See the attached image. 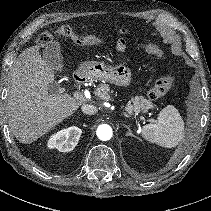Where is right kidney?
I'll return each instance as SVG.
<instances>
[{
	"mask_svg": "<svg viewBox=\"0 0 211 211\" xmlns=\"http://www.w3.org/2000/svg\"><path fill=\"white\" fill-rule=\"evenodd\" d=\"M81 134L82 130L76 126L63 129L49 138L47 146L60 152L72 151L78 144Z\"/></svg>",
	"mask_w": 211,
	"mask_h": 211,
	"instance_id": "ca27d5eb",
	"label": "right kidney"
}]
</instances>
